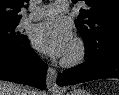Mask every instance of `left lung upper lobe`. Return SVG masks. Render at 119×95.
<instances>
[{"label": "left lung upper lobe", "mask_w": 119, "mask_h": 95, "mask_svg": "<svg viewBox=\"0 0 119 95\" xmlns=\"http://www.w3.org/2000/svg\"><path fill=\"white\" fill-rule=\"evenodd\" d=\"M73 3L78 0H72ZM75 25L86 48L119 42V0H84Z\"/></svg>", "instance_id": "5c2ea615"}]
</instances>
